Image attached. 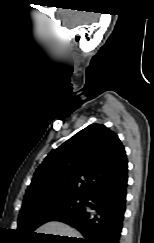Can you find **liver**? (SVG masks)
Instances as JSON below:
<instances>
[{
  "label": "liver",
  "mask_w": 154,
  "mask_h": 243,
  "mask_svg": "<svg viewBox=\"0 0 154 243\" xmlns=\"http://www.w3.org/2000/svg\"><path fill=\"white\" fill-rule=\"evenodd\" d=\"M37 233L81 238V234L74 228L62 222H48L37 229Z\"/></svg>",
  "instance_id": "liver-1"
}]
</instances>
